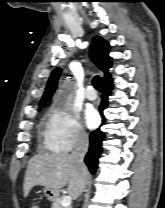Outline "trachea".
I'll return each mask as SVG.
<instances>
[{"label":"trachea","instance_id":"obj_1","mask_svg":"<svg viewBox=\"0 0 165 208\" xmlns=\"http://www.w3.org/2000/svg\"><path fill=\"white\" fill-rule=\"evenodd\" d=\"M92 84L94 88L98 91H101V83H100V78L99 76H95L92 80Z\"/></svg>","mask_w":165,"mask_h":208}]
</instances>
